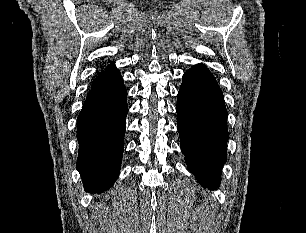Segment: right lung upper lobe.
<instances>
[{
	"instance_id": "right-lung-upper-lobe-1",
	"label": "right lung upper lobe",
	"mask_w": 306,
	"mask_h": 233,
	"mask_svg": "<svg viewBox=\"0 0 306 233\" xmlns=\"http://www.w3.org/2000/svg\"><path fill=\"white\" fill-rule=\"evenodd\" d=\"M118 70H116V67L113 63H110L103 71H101L98 76L92 81V84L100 82L106 78H108L109 76H111L112 74H114L115 72H117Z\"/></svg>"
}]
</instances>
